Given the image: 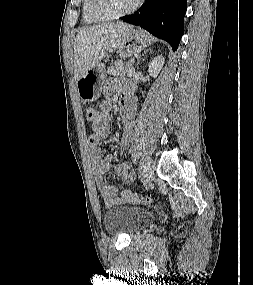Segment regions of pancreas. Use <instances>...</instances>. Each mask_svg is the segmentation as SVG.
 <instances>
[{
  "label": "pancreas",
  "instance_id": "pancreas-1",
  "mask_svg": "<svg viewBox=\"0 0 253 285\" xmlns=\"http://www.w3.org/2000/svg\"><path fill=\"white\" fill-rule=\"evenodd\" d=\"M133 67V62L128 61L126 63L117 62L108 68V74L112 76H125L128 71Z\"/></svg>",
  "mask_w": 253,
  "mask_h": 285
}]
</instances>
